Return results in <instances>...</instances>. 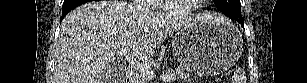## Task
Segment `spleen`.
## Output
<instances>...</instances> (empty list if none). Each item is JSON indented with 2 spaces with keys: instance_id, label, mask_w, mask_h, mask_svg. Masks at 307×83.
<instances>
[{
  "instance_id": "spleen-1",
  "label": "spleen",
  "mask_w": 307,
  "mask_h": 83,
  "mask_svg": "<svg viewBox=\"0 0 307 83\" xmlns=\"http://www.w3.org/2000/svg\"><path fill=\"white\" fill-rule=\"evenodd\" d=\"M232 83H246L245 72L242 68H238L235 70L232 77Z\"/></svg>"
}]
</instances>
